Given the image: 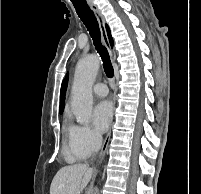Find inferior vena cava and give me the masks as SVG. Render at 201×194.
I'll list each match as a JSON object with an SVG mask.
<instances>
[{
    "mask_svg": "<svg viewBox=\"0 0 201 194\" xmlns=\"http://www.w3.org/2000/svg\"><path fill=\"white\" fill-rule=\"evenodd\" d=\"M102 145V137L101 136H97L93 145V149L94 151L97 153L99 151V149L101 148Z\"/></svg>",
    "mask_w": 201,
    "mask_h": 194,
    "instance_id": "602c4592",
    "label": "inferior vena cava"
}]
</instances>
